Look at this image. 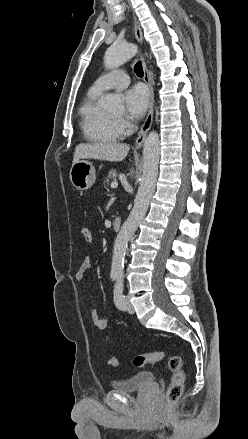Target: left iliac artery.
<instances>
[{"instance_id":"44dca946","label":"left iliac artery","mask_w":248,"mask_h":439,"mask_svg":"<svg viewBox=\"0 0 248 439\" xmlns=\"http://www.w3.org/2000/svg\"><path fill=\"white\" fill-rule=\"evenodd\" d=\"M114 303L116 305V307L120 310H125L126 309V304H125V296L123 295V280H122V276H119L117 278V282L115 284V288H114Z\"/></svg>"}]
</instances>
